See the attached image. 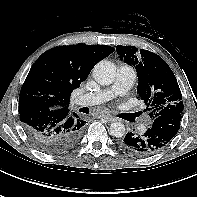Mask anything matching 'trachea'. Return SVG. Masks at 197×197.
I'll list each match as a JSON object with an SVG mask.
<instances>
[{
  "mask_svg": "<svg viewBox=\"0 0 197 197\" xmlns=\"http://www.w3.org/2000/svg\"><path fill=\"white\" fill-rule=\"evenodd\" d=\"M79 111L85 113V112H88V109L84 107V108L79 109Z\"/></svg>",
  "mask_w": 197,
  "mask_h": 197,
  "instance_id": "trachea-1",
  "label": "trachea"
}]
</instances>
